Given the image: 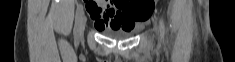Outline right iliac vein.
Masks as SVG:
<instances>
[{
	"instance_id": "63e3f726",
	"label": "right iliac vein",
	"mask_w": 235,
	"mask_h": 62,
	"mask_svg": "<svg viewBox=\"0 0 235 62\" xmlns=\"http://www.w3.org/2000/svg\"><path fill=\"white\" fill-rule=\"evenodd\" d=\"M85 24H86V18L83 16L81 18L79 28H78L77 34L75 36L76 39L81 38V36L83 35L84 29H85Z\"/></svg>"
}]
</instances>
